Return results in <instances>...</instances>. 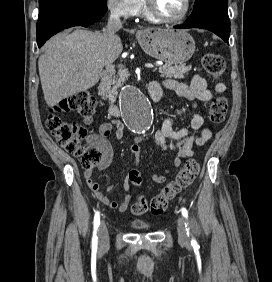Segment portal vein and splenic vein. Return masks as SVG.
Wrapping results in <instances>:
<instances>
[{"instance_id": "1", "label": "portal vein and splenic vein", "mask_w": 272, "mask_h": 282, "mask_svg": "<svg viewBox=\"0 0 272 282\" xmlns=\"http://www.w3.org/2000/svg\"><path fill=\"white\" fill-rule=\"evenodd\" d=\"M119 67L122 68L123 66H122V65H119ZM145 67H146V68H154V65L151 64V63H146V64H145Z\"/></svg>"}]
</instances>
